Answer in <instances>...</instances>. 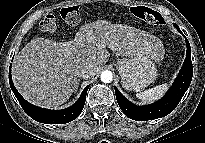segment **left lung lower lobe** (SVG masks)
Masks as SVG:
<instances>
[{
    "label": "left lung lower lobe",
    "instance_id": "1",
    "mask_svg": "<svg viewBox=\"0 0 205 143\" xmlns=\"http://www.w3.org/2000/svg\"><path fill=\"white\" fill-rule=\"evenodd\" d=\"M174 26L182 33L176 24ZM186 46L187 54L182 69L175 79L173 86L161 100L146 106H136L128 101L115 87L118 105L127 117L136 121L153 120L168 115L176 108L188 89L193 75L191 48L187 39Z\"/></svg>",
    "mask_w": 205,
    "mask_h": 143
}]
</instances>
